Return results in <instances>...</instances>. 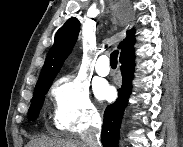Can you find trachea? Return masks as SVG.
Instances as JSON below:
<instances>
[{"label":"trachea","mask_w":183,"mask_h":147,"mask_svg":"<svg viewBox=\"0 0 183 147\" xmlns=\"http://www.w3.org/2000/svg\"><path fill=\"white\" fill-rule=\"evenodd\" d=\"M118 50H115L111 53L110 55V64H111V67H117V64H118Z\"/></svg>","instance_id":"3493384b"}]
</instances>
